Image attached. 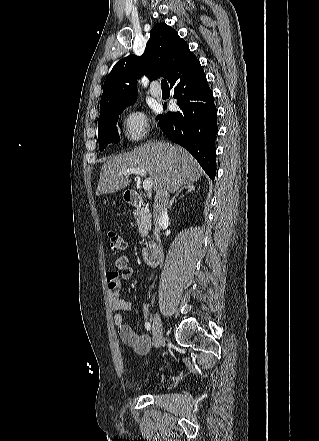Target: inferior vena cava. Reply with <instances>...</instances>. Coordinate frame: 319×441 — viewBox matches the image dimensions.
<instances>
[{
	"mask_svg": "<svg viewBox=\"0 0 319 441\" xmlns=\"http://www.w3.org/2000/svg\"><path fill=\"white\" fill-rule=\"evenodd\" d=\"M169 196H170L169 194H167L166 196H160V195L156 196L154 202V208H153L155 234L160 233L161 226L168 221L167 204H168Z\"/></svg>",
	"mask_w": 319,
	"mask_h": 441,
	"instance_id": "1",
	"label": "inferior vena cava"
}]
</instances>
